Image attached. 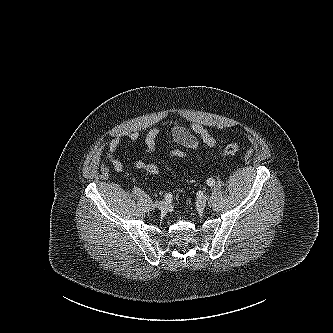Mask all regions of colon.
Returning a JSON list of instances; mask_svg holds the SVG:
<instances>
[{"label": "colon", "instance_id": "colon-1", "mask_svg": "<svg viewBox=\"0 0 333 333\" xmlns=\"http://www.w3.org/2000/svg\"><path fill=\"white\" fill-rule=\"evenodd\" d=\"M240 151V145L236 143H232L227 145L221 152L222 156H231ZM187 153L181 149H174L171 152V156L174 158H182L185 157ZM145 172L149 175H157L159 173V168L155 164H147L145 168Z\"/></svg>", "mask_w": 333, "mask_h": 333}]
</instances>
